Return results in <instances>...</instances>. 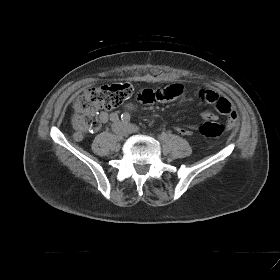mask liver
<instances>
[{
  "instance_id": "6515ba94",
  "label": "liver",
  "mask_w": 280,
  "mask_h": 280,
  "mask_svg": "<svg viewBox=\"0 0 280 280\" xmlns=\"http://www.w3.org/2000/svg\"><path fill=\"white\" fill-rule=\"evenodd\" d=\"M74 107H75L76 110L79 109V108H80V103L77 102V103L74 105Z\"/></svg>"
}]
</instances>
